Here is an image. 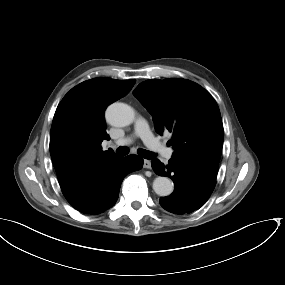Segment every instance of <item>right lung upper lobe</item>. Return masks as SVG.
I'll use <instances>...</instances> for the list:
<instances>
[{
    "label": "right lung upper lobe",
    "mask_w": 285,
    "mask_h": 285,
    "mask_svg": "<svg viewBox=\"0 0 285 285\" xmlns=\"http://www.w3.org/2000/svg\"><path fill=\"white\" fill-rule=\"evenodd\" d=\"M136 80L94 78L72 88L58 105L50 132V154L61 190L72 199L97 173L118 161L109 140L104 112L126 96Z\"/></svg>",
    "instance_id": "1"
}]
</instances>
